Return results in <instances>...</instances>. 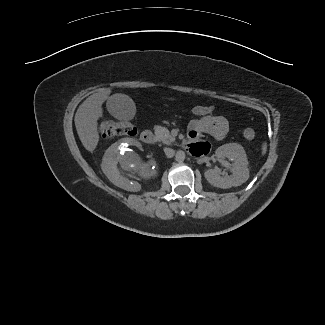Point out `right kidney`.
Here are the masks:
<instances>
[{"mask_svg": "<svg viewBox=\"0 0 325 325\" xmlns=\"http://www.w3.org/2000/svg\"><path fill=\"white\" fill-rule=\"evenodd\" d=\"M101 168L114 185L133 192L140 191L156 175L154 162L144 159L142 145L132 138L112 144L103 156Z\"/></svg>", "mask_w": 325, "mask_h": 325, "instance_id": "obj_1", "label": "right kidney"}]
</instances>
